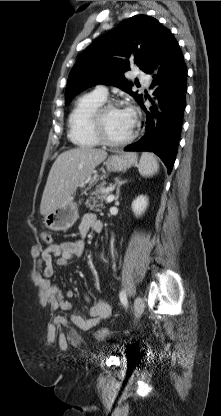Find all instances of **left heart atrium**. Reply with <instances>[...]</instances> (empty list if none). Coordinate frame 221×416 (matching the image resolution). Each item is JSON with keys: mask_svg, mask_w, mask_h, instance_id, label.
Masks as SVG:
<instances>
[{"mask_svg": "<svg viewBox=\"0 0 221 416\" xmlns=\"http://www.w3.org/2000/svg\"><path fill=\"white\" fill-rule=\"evenodd\" d=\"M130 115L133 116V112L131 110H126Z\"/></svg>", "mask_w": 221, "mask_h": 416, "instance_id": "1", "label": "left heart atrium"}]
</instances>
